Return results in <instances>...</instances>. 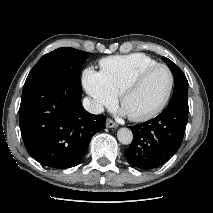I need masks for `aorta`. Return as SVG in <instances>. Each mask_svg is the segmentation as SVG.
I'll return each instance as SVG.
<instances>
[{"label":"aorta","mask_w":213,"mask_h":213,"mask_svg":"<svg viewBox=\"0 0 213 213\" xmlns=\"http://www.w3.org/2000/svg\"><path fill=\"white\" fill-rule=\"evenodd\" d=\"M117 137L120 143L128 145L132 143L133 133L128 128H120L117 132Z\"/></svg>","instance_id":"aorta-1"}]
</instances>
